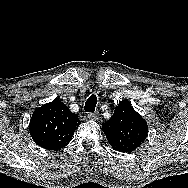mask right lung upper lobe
<instances>
[{"mask_svg":"<svg viewBox=\"0 0 188 188\" xmlns=\"http://www.w3.org/2000/svg\"><path fill=\"white\" fill-rule=\"evenodd\" d=\"M80 121L61 101L54 100L37 108L30 121V135L43 148L58 150L66 146Z\"/></svg>","mask_w":188,"mask_h":188,"instance_id":"1","label":"right lung upper lobe"}]
</instances>
